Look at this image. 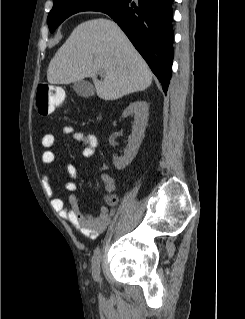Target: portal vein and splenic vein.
<instances>
[{
    "mask_svg": "<svg viewBox=\"0 0 245 319\" xmlns=\"http://www.w3.org/2000/svg\"><path fill=\"white\" fill-rule=\"evenodd\" d=\"M98 73H99V75H103V74H104V71H103V70H100Z\"/></svg>",
    "mask_w": 245,
    "mask_h": 319,
    "instance_id": "1",
    "label": "portal vein and splenic vein"
}]
</instances>
